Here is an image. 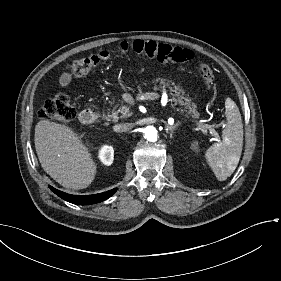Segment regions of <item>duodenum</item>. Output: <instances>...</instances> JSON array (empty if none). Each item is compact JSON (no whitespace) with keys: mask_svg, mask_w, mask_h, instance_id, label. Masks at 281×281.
Returning a JSON list of instances; mask_svg holds the SVG:
<instances>
[{"mask_svg":"<svg viewBox=\"0 0 281 281\" xmlns=\"http://www.w3.org/2000/svg\"><path fill=\"white\" fill-rule=\"evenodd\" d=\"M80 120L84 124H96L101 120V115L94 110L85 109L80 114Z\"/></svg>","mask_w":281,"mask_h":281,"instance_id":"obj_1","label":"duodenum"}]
</instances>
